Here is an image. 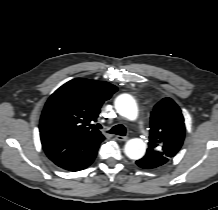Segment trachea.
Returning <instances> with one entry per match:
<instances>
[{"label": "trachea", "mask_w": 218, "mask_h": 210, "mask_svg": "<svg viewBox=\"0 0 218 210\" xmlns=\"http://www.w3.org/2000/svg\"><path fill=\"white\" fill-rule=\"evenodd\" d=\"M97 127L99 129H102V126L100 124H98ZM108 132L112 134L120 135V136H125L126 128L123 125L119 124L111 128Z\"/></svg>", "instance_id": "1"}]
</instances>
